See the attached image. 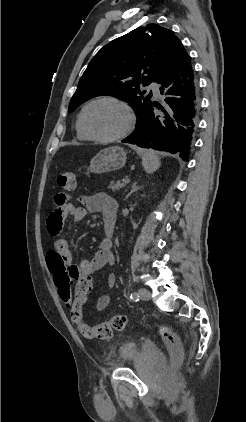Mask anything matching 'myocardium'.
Returning <instances> with one entry per match:
<instances>
[{
  "mask_svg": "<svg viewBox=\"0 0 246 422\" xmlns=\"http://www.w3.org/2000/svg\"><path fill=\"white\" fill-rule=\"evenodd\" d=\"M113 102L117 105H119L126 113V117H127V122L126 125L124 127V129L113 135V136H109V137H102V136H98L93 134L87 124H86V113L87 110L94 104L99 103V102ZM80 124L82 127V130L84 131V133L87 135V137L90 140L93 141H97V142H101V143H112V142H116L118 140L123 139L124 137H126L134 128L135 125V114L134 111L132 109V107L124 100L116 97V96H111V95H106V96H101L98 98H95L91 101H89L82 109L81 113H80Z\"/></svg>",
  "mask_w": 246,
  "mask_h": 422,
  "instance_id": "obj_1",
  "label": "myocardium"
}]
</instances>
